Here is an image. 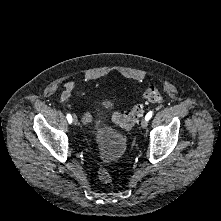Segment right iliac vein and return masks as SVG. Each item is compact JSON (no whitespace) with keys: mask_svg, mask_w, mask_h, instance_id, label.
Masks as SVG:
<instances>
[{"mask_svg":"<svg viewBox=\"0 0 221 221\" xmlns=\"http://www.w3.org/2000/svg\"><path fill=\"white\" fill-rule=\"evenodd\" d=\"M72 122H73L74 125H77L78 120H77L76 116H73Z\"/></svg>","mask_w":221,"mask_h":221,"instance_id":"obj_1","label":"right iliac vein"}]
</instances>
